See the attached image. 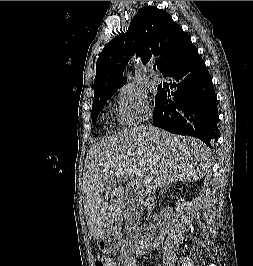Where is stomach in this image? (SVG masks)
Wrapping results in <instances>:
<instances>
[{
	"label": "stomach",
	"instance_id": "obj_1",
	"mask_svg": "<svg viewBox=\"0 0 253 266\" xmlns=\"http://www.w3.org/2000/svg\"><path fill=\"white\" fill-rule=\"evenodd\" d=\"M99 249L103 252H111L113 251L116 246L118 245V242L112 238L110 234H105L102 238L98 241Z\"/></svg>",
	"mask_w": 253,
	"mask_h": 266
}]
</instances>
